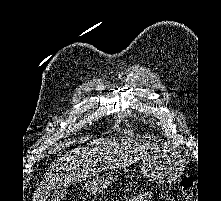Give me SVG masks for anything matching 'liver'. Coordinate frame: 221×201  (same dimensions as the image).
Wrapping results in <instances>:
<instances>
[{
    "label": "liver",
    "instance_id": "1",
    "mask_svg": "<svg viewBox=\"0 0 221 201\" xmlns=\"http://www.w3.org/2000/svg\"><path fill=\"white\" fill-rule=\"evenodd\" d=\"M163 147L129 137L105 138L88 142L64 154L53 163L45 174L35 201H46L50 193L58 187H67L91 179L101 169H115L128 166L146 155Z\"/></svg>",
    "mask_w": 221,
    "mask_h": 201
}]
</instances>
